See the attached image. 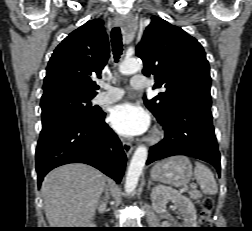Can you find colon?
<instances>
[{"label": "colon", "instance_id": "colon-1", "mask_svg": "<svg viewBox=\"0 0 252 231\" xmlns=\"http://www.w3.org/2000/svg\"><path fill=\"white\" fill-rule=\"evenodd\" d=\"M213 210V201L210 198L203 199L201 203V212L199 215L198 222L202 226L209 225L211 222V212Z\"/></svg>", "mask_w": 252, "mask_h": 231}]
</instances>
